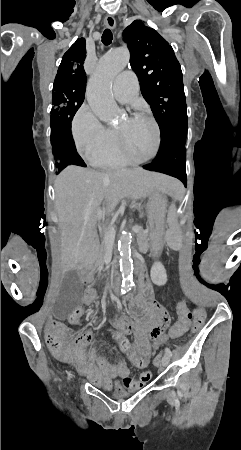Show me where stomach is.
Returning a JSON list of instances; mask_svg holds the SVG:
<instances>
[{"mask_svg": "<svg viewBox=\"0 0 241 450\" xmlns=\"http://www.w3.org/2000/svg\"><path fill=\"white\" fill-rule=\"evenodd\" d=\"M151 253L159 256L164 247L166 200L159 191L149 194L147 203Z\"/></svg>", "mask_w": 241, "mask_h": 450, "instance_id": "stomach-1", "label": "stomach"}]
</instances>
